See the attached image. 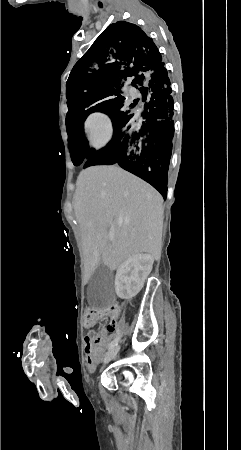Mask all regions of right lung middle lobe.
Listing matches in <instances>:
<instances>
[{
  "instance_id": "1",
  "label": "right lung middle lobe",
  "mask_w": 241,
  "mask_h": 450,
  "mask_svg": "<svg viewBox=\"0 0 241 450\" xmlns=\"http://www.w3.org/2000/svg\"><path fill=\"white\" fill-rule=\"evenodd\" d=\"M121 93L122 91L119 89L95 86L89 81L70 73L66 85L67 129L77 118H86L93 112L107 114L112 120L113 128L125 121L136 119V105L139 99H134L130 104ZM71 159L75 166L87 160L84 155L72 151Z\"/></svg>"
}]
</instances>
